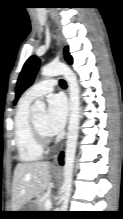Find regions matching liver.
<instances>
[{"mask_svg": "<svg viewBox=\"0 0 123 219\" xmlns=\"http://www.w3.org/2000/svg\"><path fill=\"white\" fill-rule=\"evenodd\" d=\"M50 162L18 163L14 170L11 211H19L31 199L40 196L50 181Z\"/></svg>", "mask_w": 123, "mask_h": 219, "instance_id": "6515ba94", "label": "liver"}]
</instances>
